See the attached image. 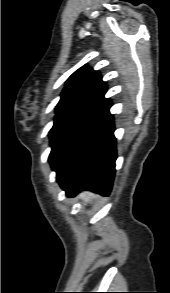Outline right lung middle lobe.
Returning a JSON list of instances; mask_svg holds the SVG:
<instances>
[{
  "instance_id": "1",
  "label": "right lung middle lobe",
  "mask_w": 170,
  "mask_h": 293,
  "mask_svg": "<svg viewBox=\"0 0 170 293\" xmlns=\"http://www.w3.org/2000/svg\"><path fill=\"white\" fill-rule=\"evenodd\" d=\"M109 115L108 108L81 107L55 116L49 133L52 169L60 173Z\"/></svg>"
}]
</instances>
